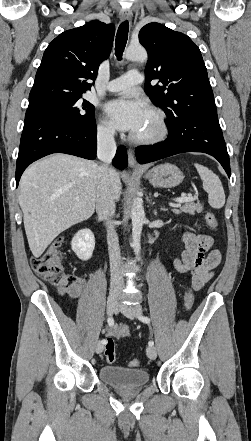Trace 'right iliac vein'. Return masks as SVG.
<instances>
[{
	"instance_id": "right-iliac-vein-1",
	"label": "right iliac vein",
	"mask_w": 251,
	"mask_h": 441,
	"mask_svg": "<svg viewBox=\"0 0 251 441\" xmlns=\"http://www.w3.org/2000/svg\"><path fill=\"white\" fill-rule=\"evenodd\" d=\"M118 305V294L112 293L109 295L107 300V314L112 315L117 309ZM104 350V344L101 341H98L95 346L96 353H101Z\"/></svg>"
}]
</instances>
